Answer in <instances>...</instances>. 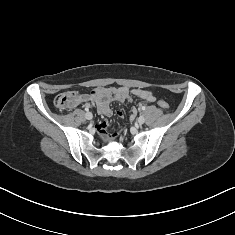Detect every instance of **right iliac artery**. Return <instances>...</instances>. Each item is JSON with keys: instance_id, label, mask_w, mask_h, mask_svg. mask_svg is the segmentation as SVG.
Wrapping results in <instances>:
<instances>
[{"instance_id": "right-iliac-artery-1", "label": "right iliac artery", "mask_w": 235, "mask_h": 235, "mask_svg": "<svg viewBox=\"0 0 235 235\" xmlns=\"http://www.w3.org/2000/svg\"><path fill=\"white\" fill-rule=\"evenodd\" d=\"M85 111H87V113H88V111H89V108H85Z\"/></svg>"}]
</instances>
